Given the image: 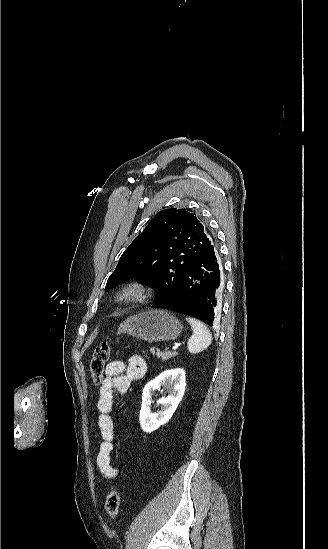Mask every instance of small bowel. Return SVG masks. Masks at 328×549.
<instances>
[{"instance_id": "obj_1", "label": "small bowel", "mask_w": 328, "mask_h": 549, "mask_svg": "<svg viewBox=\"0 0 328 549\" xmlns=\"http://www.w3.org/2000/svg\"><path fill=\"white\" fill-rule=\"evenodd\" d=\"M145 373L146 362L139 355L130 356L127 362L113 360L106 365V377L101 384L96 404L97 423L101 436L96 464L101 474L107 479H114L118 475V469L111 463L114 423L110 413L114 405V392L127 393L132 382L142 379Z\"/></svg>"}]
</instances>
